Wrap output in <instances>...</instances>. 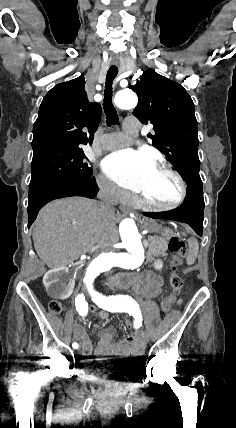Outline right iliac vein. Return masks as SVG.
<instances>
[{"instance_id": "right-iliac-vein-1", "label": "right iliac vein", "mask_w": 236, "mask_h": 428, "mask_svg": "<svg viewBox=\"0 0 236 428\" xmlns=\"http://www.w3.org/2000/svg\"><path fill=\"white\" fill-rule=\"evenodd\" d=\"M82 343H83V340H80V341H79V346H80V347L82 346Z\"/></svg>"}]
</instances>
